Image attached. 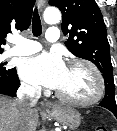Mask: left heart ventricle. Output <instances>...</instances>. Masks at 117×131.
Here are the masks:
<instances>
[{"instance_id": "obj_1", "label": "left heart ventricle", "mask_w": 117, "mask_h": 131, "mask_svg": "<svg viewBox=\"0 0 117 131\" xmlns=\"http://www.w3.org/2000/svg\"><path fill=\"white\" fill-rule=\"evenodd\" d=\"M95 89V79L87 69L71 66L66 67L64 80L57 90L71 98L87 99L95 93Z\"/></svg>"}]
</instances>
